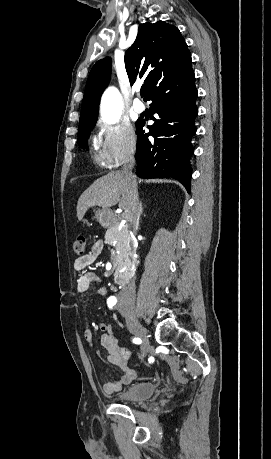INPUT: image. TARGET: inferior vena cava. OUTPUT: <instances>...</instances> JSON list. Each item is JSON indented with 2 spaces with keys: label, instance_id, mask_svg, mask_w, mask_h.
I'll return each instance as SVG.
<instances>
[{
  "label": "inferior vena cava",
  "instance_id": "obj_1",
  "mask_svg": "<svg viewBox=\"0 0 271 459\" xmlns=\"http://www.w3.org/2000/svg\"><path fill=\"white\" fill-rule=\"evenodd\" d=\"M135 160L132 158V160H129L127 162L126 166L122 168L123 174H127L129 178H132L134 180V184L132 186V208L129 216V220H131L133 226H136L139 222V216L142 212L141 204H139L138 200V194H137V182L135 180V176H132V170L134 168ZM121 297L123 299H135V283L134 281H129V283H126V285H123L121 291H120Z\"/></svg>",
  "mask_w": 271,
  "mask_h": 459
}]
</instances>
